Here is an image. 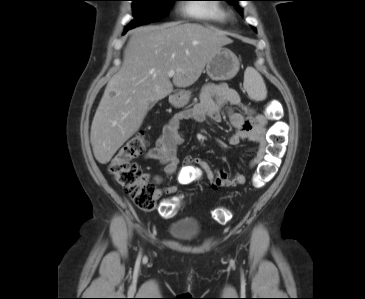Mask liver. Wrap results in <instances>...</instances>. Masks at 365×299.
Masks as SVG:
<instances>
[{
    "label": "liver",
    "instance_id": "6515ba94",
    "mask_svg": "<svg viewBox=\"0 0 365 299\" xmlns=\"http://www.w3.org/2000/svg\"><path fill=\"white\" fill-rule=\"evenodd\" d=\"M224 31L194 23L143 26L132 31L120 70L109 80L91 125L96 160L107 164L142 125L149 104L189 87L222 47ZM175 71L171 83L168 72Z\"/></svg>",
    "mask_w": 365,
    "mask_h": 299
}]
</instances>
